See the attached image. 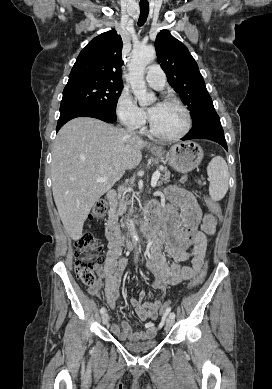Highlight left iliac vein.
I'll return each mask as SVG.
<instances>
[{
	"mask_svg": "<svg viewBox=\"0 0 272 389\" xmlns=\"http://www.w3.org/2000/svg\"><path fill=\"white\" fill-rule=\"evenodd\" d=\"M173 324H174V319L173 318H167L166 319V326L167 327H171V326H173Z\"/></svg>",
	"mask_w": 272,
	"mask_h": 389,
	"instance_id": "4c4485c4",
	"label": "left iliac vein"
}]
</instances>
